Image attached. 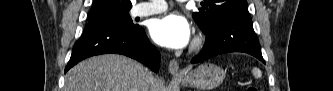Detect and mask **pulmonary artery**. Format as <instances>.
Listing matches in <instances>:
<instances>
[{"label":"pulmonary artery","instance_id":"1","mask_svg":"<svg viewBox=\"0 0 333 91\" xmlns=\"http://www.w3.org/2000/svg\"><path fill=\"white\" fill-rule=\"evenodd\" d=\"M167 10V5L164 0H152L138 4L134 8V13L137 16H150L162 13Z\"/></svg>","mask_w":333,"mask_h":91}]
</instances>
